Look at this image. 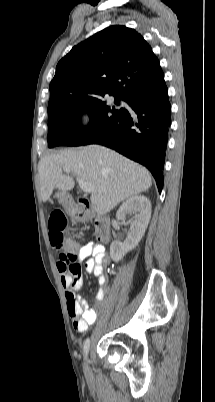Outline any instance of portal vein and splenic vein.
Returning a JSON list of instances; mask_svg holds the SVG:
<instances>
[{
    "mask_svg": "<svg viewBox=\"0 0 215 402\" xmlns=\"http://www.w3.org/2000/svg\"><path fill=\"white\" fill-rule=\"evenodd\" d=\"M64 171H65L66 173H69V172H70V171H69L68 169H66V168H64ZM77 182H78L80 188H81L85 193H91V192H93L94 187H93V185H92L91 183L85 182V181H83V180H81V179H79V178H77Z\"/></svg>",
    "mask_w": 215,
    "mask_h": 402,
    "instance_id": "obj_1",
    "label": "portal vein and splenic vein"
}]
</instances>
